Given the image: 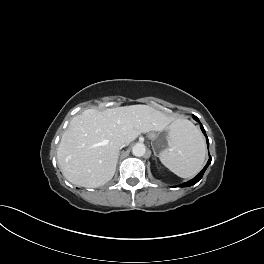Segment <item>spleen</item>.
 <instances>
[{
	"instance_id": "3e777b00",
	"label": "spleen",
	"mask_w": 264,
	"mask_h": 264,
	"mask_svg": "<svg viewBox=\"0 0 264 264\" xmlns=\"http://www.w3.org/2000/svg\"><path fill=\"white\" fill-rule=\"evenodd\" d=\"M205 141L189 120H177L170 133L169 147L159 155L170 171L182 178L197 174L205 160Z\"/></svg>"
}]
</instances>
